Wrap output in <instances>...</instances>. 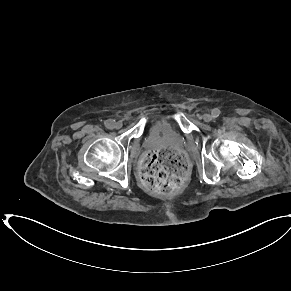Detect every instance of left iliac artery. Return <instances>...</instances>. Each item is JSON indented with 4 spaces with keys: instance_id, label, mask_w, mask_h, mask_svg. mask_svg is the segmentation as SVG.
<instances>
[{
    "instance_id": "1",
    "label": "left iliac artery",
    "mask_w": 291,
    "mask_h": 291,
    "mask_svg": "<svg viewBox=\"0 0 291 291\" xmlns=\"http://www.w3.org/2000/svg\"><path fill=\"white\" fill-rule=\"evenodd\" d=\"M220 115V110L219 109H213L212 111V117L217 118Z\"/></svg>"
}]
</instances>
